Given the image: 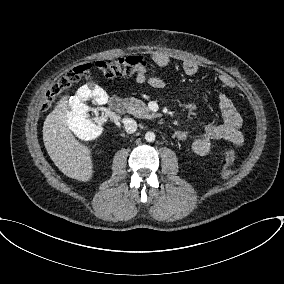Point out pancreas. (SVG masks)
Instances as JSON below:
<instances>
[{
	"label": "pancreas",
	"instance_id": "1",
	"mask_svg": "<svg viewBox=\"0 0 284 284\" xmlns=\"http://www.w3.org/2000/svg\"><path fill=\"white\" fill-rule=\"evenodd\" d=\"M124 103L127 107L128 113L132 114L137 118H154L157 115L146 106V104L134 97L132 98H125Z\"/></svg>",
	"mask_w": 284,
	"mask_h": 284
}]
</instances>
